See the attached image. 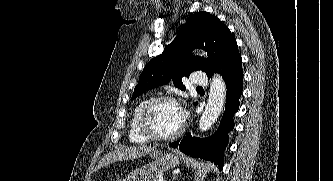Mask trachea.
<instances>
[{"instance_id":"1","label":"trachea","mask_w":333,"mask_h":181,"mask_svg":"<svg viewBox=\"0 0 333 181\" xmlns=\"http://www.w3.org/2000/svg\"><path fill=\"white\" fill-rule=\"evenodd\" d=\"M196 89H203L202 87H197Z\"/></svg>"}]
</instances>
